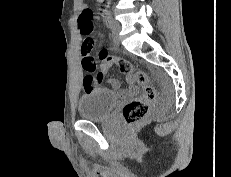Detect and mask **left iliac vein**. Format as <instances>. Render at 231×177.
Segmentation results:
<instances>
[{"label": "left iliac vein", "instance_id": "left-iliac-vein-1", "mask_svg": "<svg viewBox=\"0 0 231 177\" xmlns=\"http://www.w3.org/2000/svg\"><path fill=\"white\" fill-rule=\"evenodd\" d=\"M120 30H121L120 24L117 21L112 20L110 24V31H111L112 39L116 44L119 43Z\"/></svg>", "mask_w": 231, "mask_h": 177}]
</instances>
